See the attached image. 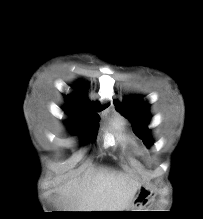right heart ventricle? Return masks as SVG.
<instances>
[{
	"label": "right heart ventricle",
	"mask_w": 203,
	"mask_h": 219,
	"mask_svg": "<svg viewBox=\"0 0 203 219\" xmlns=\"http://www.w3.org/2000/svg\"><path fill=\"white\" fill-rule=\"evenodd\" d=\"M112 132L118 143L126 145L129 142V137L125 130V124L121 119H115Z\"/></svg>",
	"instance_id": "e07e8e85"
}]
</instances>
